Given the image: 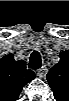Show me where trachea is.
<instances>
[{"instance_id": "obj_1", "label": "trachea", "mask_w": 69, "mask_h": 101, "mask_svg": "<svg viewBox=\"0 0 69 101\" xmlns=\"http://www.w3.org/2000/svg\"><path fill=\"white\" fill-rule=\"evenodd\" d=\"M42 66L41 55L38 51H33L29 58L28 67L31 69H39Z\"/></svg>"}]
</instances>
